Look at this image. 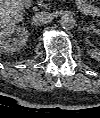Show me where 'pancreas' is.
<instances>
[{"mask_svg": "<svg viewBox=\"0 0 100 118\" xmlns=\"http://www.w3.org/2000/svg\"><path fill=\"white\" fill-rule=\"evenodd\" d=\"M40 6L46 8L48 6V4H44V3H42V0H40Z\"/></svg>", "mask_w": 100, "mask_h": 118, "instance_id": "pancreas-1", "label": "pancreas"}]
</instances>
